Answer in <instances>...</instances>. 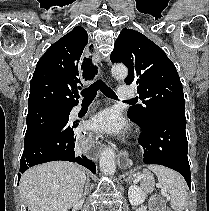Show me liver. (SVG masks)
Segmentation results:
<instances>
[{
	"instance_id": "6515ba94",
	"label": "liver",
	"mask_w": 209,
	"mask_h": 211,
	"mask_svg": "<svg viewBox=\"0 0 209 211\" xmlns=\"http://www.w3.org/2000/svg\"><path fill=\"white\" fill-rule=\"evenodd\" d=\"M85 181L77 164L52 161L28 169L19 188L28 211H68L81 201Z\"/></svg>"
}]
</instances>
